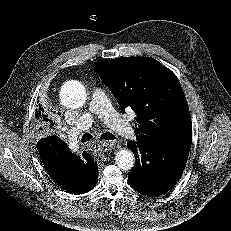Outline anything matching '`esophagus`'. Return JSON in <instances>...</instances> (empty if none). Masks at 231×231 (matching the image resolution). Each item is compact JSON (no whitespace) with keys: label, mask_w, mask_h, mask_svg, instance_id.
Here are the masks:
<instances>
[{"label":"esophagus","mask_w":231,"mask_h":231,"mask_svg":"<svg viewBox=\"0 0 231 231\" xmlns=\"http://www.w3.org/2000/svg\"><path fill=\"white\" fill-rule=\"evenodd\" d=\"M115 142L112 141H101L100 149L103 152H108L113 149Z\"/></svg>","instance_id":"obj_1"}]
</instances>
